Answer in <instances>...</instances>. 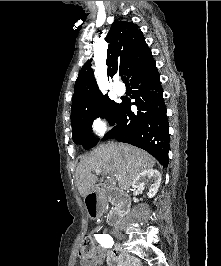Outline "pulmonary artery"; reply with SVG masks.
<instances>
[{"label":"pulmonary artery","instance_id":"obj_1","mask_svg":"<svg viewBox=\"0 0 221 266\" xmlns=\"http://www.w3.org/2000/svg\"><path fill=\"white\" fill-rule=\"evenodd\" d=\"M114 92L117 95H123L125 92V88L124 87H119V86H114Z\"/></svg>","mask_w":221,"mask_h":266}]
</instances>
